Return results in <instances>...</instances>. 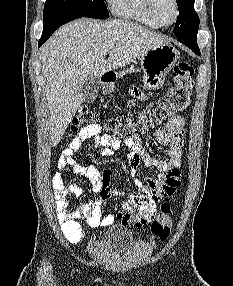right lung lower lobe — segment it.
<instances>
[{"label":"right lung lower lobe","mask_w":233,"mask_h":286,"mask_svg":"<svg viewBox=\"0 0 233 286\" xmlns=\"http://www.w3.org/2000/svg\"><path fill=\"white\" fill-rule=\"evenodd\" d=\"M77 18L80 17L73 14H63L57 16L47 23H44L43 33L41 39L39 40L38 46H41L46 40H48L58 27Z\"/></svg>","instance_id":"98d812e1"}]
</instances>
